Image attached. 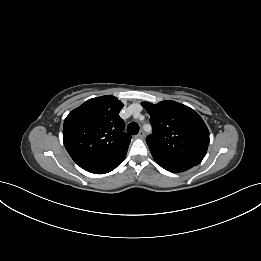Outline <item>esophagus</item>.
Returning <instances> with one entry per match:
<instances>
[{"instance_id":"1","label":"esophagus","mask_w":261,"mask_h":261,"mask_svg":"<svg viewBox=\"0 0 261 261\" xmlns=\"http://www.w3.org/2000/svg\"><path fill=\"white\" fill-rule=\"evenodd\" d=\"M144 137H145V133L142 130L136 135V138L143 139Z\"/></svg>"}]
</instances>
